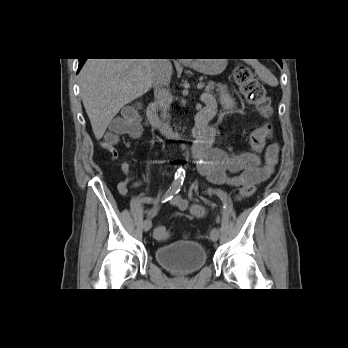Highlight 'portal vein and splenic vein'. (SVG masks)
I'll return each instance as SVG.
<instances>
[{"instance_id": "obj_1", "label": "portal vein and splenic vein", "mask_w": 348, "mask_h": 348, "mask_svg": "<svg viewBox=\"0 0 348 348\" xmlns=\"http://www.w3.org/2000/svg\"><path fill=\"white\" fill-rule=\"evenodd\" d=\"M204 87V83H198L197 88L202 89Z\"/></svg>"}]
</instances>
